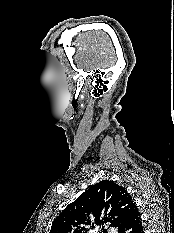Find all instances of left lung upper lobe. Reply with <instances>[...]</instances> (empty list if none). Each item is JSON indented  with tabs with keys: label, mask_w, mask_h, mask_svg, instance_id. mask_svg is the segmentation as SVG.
I'll return each instance as SVG.
<instances>
[{
	"label": "left lung upper lobe",
	"mask_w": 174,
	"mask_h": 233,
	"mask_svg": "<svg viewBox=\"0 0 174 233\" xmlns=\"http://www.w3.org/2000/svg\"><path fill=\"white\" fill-rule=\"evenodd\" d=\"M138 208L129 193L110 180L90 186L53 221L50 233H87L105 223L119 228Z\"/></svg>",
	"instance_id": "left-lung-upper-lobe-1"
}]
</instances>
